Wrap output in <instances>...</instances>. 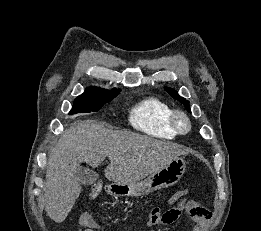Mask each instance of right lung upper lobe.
I'll list each match as a JSON object with an SVG mask.
<instances>
[{
    "instance_id": "cb5924a9",
    "label": "right lung upper lobe",
    "mask_w": 261,
    "mask_h": 231,
    "mask_svg": "<svg viewBox=\"0 0 261 231\" xmlns=\"http://www.w3.org/2000/svg\"><path fill=\"white\" fill-rule=\"evenodd\" d=\"M116 92H120V90L113 89V90L109 91V90L101 89L98 87H88L82 95L92 96V95H103V94H110V93H116Z\"/></svg>"
}]
</instances>
